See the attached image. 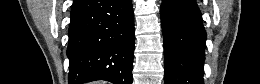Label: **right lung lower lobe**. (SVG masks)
<instances>
[{"label":"right lung lower lobe","instance_id":"right-lung-lower-lobe-1","mask_svg":"<svg viewBox=\"0 0 260 84\" xmlns=\"http://www.w3.org/2000/svg\"><path fill=\"white\" fill-rule=\"evenodd\" d=\"M67 56L70 84L95 80L132 84L131 0H74Z\"/></svg>","mask_w":260,"mask_h":84}]
</instances>
